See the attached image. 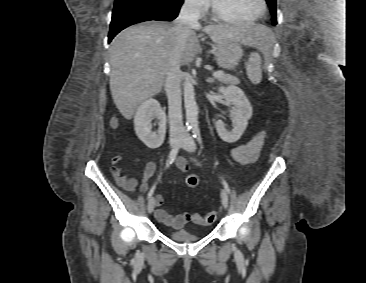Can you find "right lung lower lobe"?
Listing matches in <instances>:
<instances>
[{
	"mask_svg": "<svg viewBox=\"0 0 366 283\" xmlns=\"http://www.w3.org/2000/svg\"><path fill=\"white\" fill-rule=\"evenodd\" d=\"M182 3L183 1L177 5H171L165 0H115L108 42L118 32L133 24L150 20L175 19Z\"/></svg>",
	"mask_w": 366,
	"mask_h": 283,
	"instance_id": "right-lung-lower-lobe-1",
	"label": "right lung lower lobe"
}]
</instances>
